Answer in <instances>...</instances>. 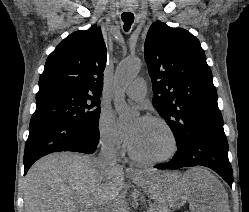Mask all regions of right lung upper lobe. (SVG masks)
Here are the masks:
<instances>
[{
  "mask_svg": "<svg viewBox=\"0 0 249 212\" xmlns=\"http://www.w3.org/2000/svg\"><path fill=\"white\" fill-rule=\"evenodd\" d=\"M106 60L100 28L92 26L70 34L49 55L37 95L79 92L100 96Z\"/></svg>",
  "mask_w": 249,
  "mask_h": 212,
  "instance_id": "cb5924a9",
  "label": "right lung upper lobe"
}]
</instances>
